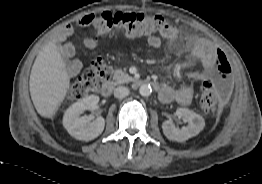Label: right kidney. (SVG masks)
<instances>
[{
  "label": "right kidney",
  "instance_id": "right-kidney-1",
  "mask_svg": "<svg viewBox=\"0 0 262 184\" xmlns=\"http://www.w3.org/2000/svg\"><path fill=\"white\" fill-rule=\"evenodd\" d=\"M99 97L88 96L72 104L63 116V126L68 133L77 140L90 141L98 137L104 130L105 120L99 116L92 122V117L80 116L86 110L97 107Z\"/></svg>",
  "mask_w": 262,
  "mask_h": 184
}]
</instances>
